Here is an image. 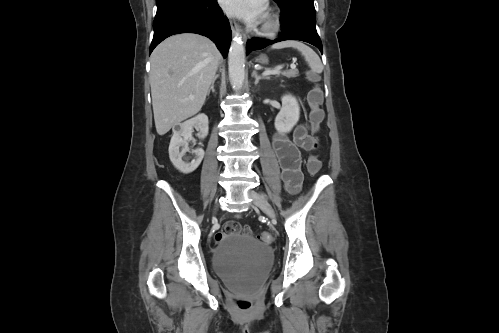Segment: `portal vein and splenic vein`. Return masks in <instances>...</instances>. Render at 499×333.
I'll list each match as a JSON object with an SVG mask.
<instances>
[{
    "mask_svg": "<svg viewBox=\"0 0 499 333\" xmlns=\"http://www.w3.org/2000/svg\"><path fill=\"white\" fill-rule=\"evenodd\" d=\"M283 67L280 65V66H277L275 67L274 69L272 70H266L263 72V75H271V74H277L280 72V70L282 69ZM291 68H295V65L294 64H291ZM194 97L193 96H190L189 99H193Z\"/></svg>",
    "mask_w": 499,
    "mask_h": 333,
    "instance_id": "18ae733b",
    "label": "portal vein and splenic vein"
}]
</instances>
